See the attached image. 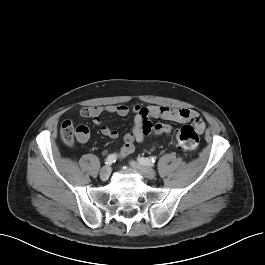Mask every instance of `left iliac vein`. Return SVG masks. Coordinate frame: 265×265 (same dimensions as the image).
<instances>
[{
	"label": "left iliac vein",
	"instance_id": "4c4485c4",
	"mask_svg": "<svg viewBox=\"0 0 265 265\" xmlns=\"http://www.w3.org/2000/svg\"><path fill=\"white\" fill-rule=\"evenodd\" d=\"M130 165L133 169L137 170L145 178L154 179L156 177V172L150 167L140 165L135 161H131Z\"/></svg>",
	"mask_w": 265,
	"mask_h": 265
}]
</instances>
